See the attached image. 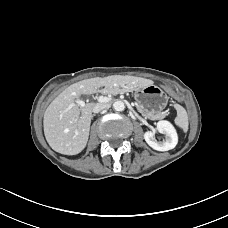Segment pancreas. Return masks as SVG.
Listing matches in <instances>:
<instances>
[{"label":"pancreas","mask_w":228,"mask_h":228,"mask_svg":"<svg viewBox=\"0 0 228 228\" xmlns=\"http://www.w3.org/2000/svg\"><path fill=\"white\" fill-rule=\"evenodd\" d=\"M134 109L137 112H139L140 114H142L143 116H146L152 120L163 119L167 115L165 112H157V113L148 112V113H145V110L143 108L139 107L138 105H135Z\"/></svg>","instance_id":"pancreas-1"}]
</instances>
